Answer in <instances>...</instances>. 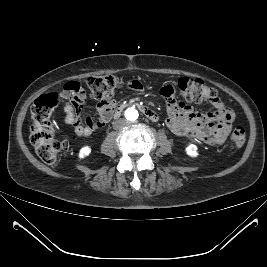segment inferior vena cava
I'll return each instance as SVG.
<instances>
[{
  "label": "inferior vena cava",
  "mask_w": 267,
  "mask_h": 267,
  "mask_svg": "<svg viewBox=\"0 0 267 267\" xmlns=\"http://www.w3.org/2000/svg\"><path fill=\"white\" fill-rule=\"evenodd\" d=\"M127 124V121L123 118L117 119L113 122L114 129H121Z\"/></svg>",
  "instance_id": "inferior-vena-cava-1"
}]
</instances>
